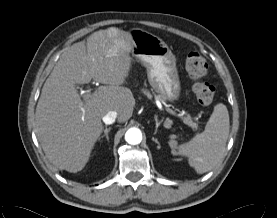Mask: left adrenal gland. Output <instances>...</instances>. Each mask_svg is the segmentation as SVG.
<instances>
[{"label":"left adrenal gland","mask_w":277,"mask_h":218,"mask_svg":"<svg viewBox=\"0 0 277 218\" xmlns=\"http://www.w3.org/2000/svg\"><path fill=\"white\" fill-rule=\"evenodd\" d=\"M154 118H155V122H156V126H155V132H154V134H156L157 133V131H158V128H159V126H160V124L162 123V121H158V119H157V116L155 115L154 116ZM168 119L166 120V122L165 123H168ZM172 138V137H171Z\"/></svg>","instance_id":"a2214340"}]
</instances>
